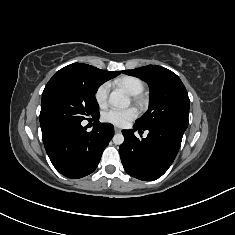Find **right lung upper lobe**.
Returning <instances> with one entry per match:
<instances>
[{
    "label": "right lung upper lobe",
    "instance_id": "obj_1",
    "mask_svg": "<svg viewBox=\"0 0 235 235\" xmlns=\"http://www.w3.org/2000/svg\"><path fill=\"white\" fill-rule=\"evenodd\" d=\"M60 70L67 71V72L82 76L84 78L100 82L101 84L120 74V72L118 71H114V72L104 71L96 67H93L91 65L83 64V63L70 64Z\"/></svg>",
    "mask_w": 235,
    "mask_h": 235
}]
</instances>
